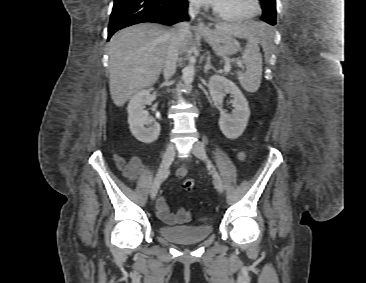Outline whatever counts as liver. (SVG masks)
Returning <instances> with one entry per match:
<instances>
[{"label": "liver", "mask_w": 366, "mask_h": 283, "mask_svg": "<svg viewBox=\"0 0 366 283\" xmlns=\"http://www.w3.org/2000/svg\"><path fill=\"white\" fill-rule=\"evenodd\" d=\"M216 29L230 35L249 39H267L270 30L251 22L219 23ZM171 29L156 23H139L115 33L108 43L110 56V94L114 104L123 106L141 89L157 82L169 47ZM192 38L189 31L181 51Z\"/></svg>", "instance_id": "liver-1"}]
</instances>
